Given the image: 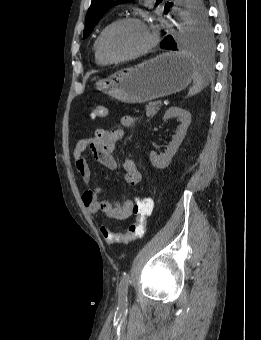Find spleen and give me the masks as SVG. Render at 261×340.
<instances>
[{"label":"spleen","mask_w":261,"mask_h":340,"mask_svg":"<svg viewBox=\"0 0 261 340\" xmlns=\"http://www.w3.org/2000/svg\"><path fill=\"white\" fill-rule=\"evenodd\" d=\"M193 86L189 90V95H195L208 85V74L204 67L196 60L193 61Z\"/></svg>","instance_id":"3e777b00"}]
</instances>
